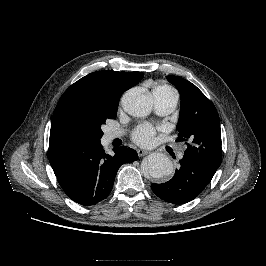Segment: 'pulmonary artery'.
I'll list each match as a JSON object with an SVG mask.
<instances>
[{"instance_id":"obj_1","label":"pulmonary artery","mask_w":266,"mask_h":266,"mask_svg":"<svg viewBox=\"0 0 266 266\" xmlns=\"http://www.w3.org/2000/svg\"><path fill=\"white\" fill-rule=\"evenodd\" d=\"M155 108L158 114L167 115L173 112L178 104V96L175 92H154ZM121 136L120 132L109 131L108 140ZM185 147L180 148L179 156L182 157Z\"/></svg>"}]
</instances>
